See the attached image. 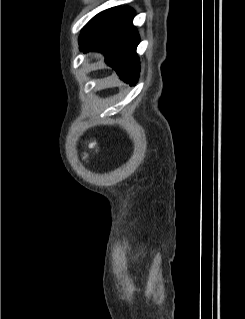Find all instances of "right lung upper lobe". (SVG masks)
Listing matches in <instances>:
<instances>
[{"label": "right lung upper lobe", "instance_id": "right-lung-upper-lobe-1", "mask_svg": "<svg viewBox=\"0 0 245 319\" xmlns=\"http://www.w3.org/2000/svg\"><path fill=\"white\" fill-rule=\"evenodd\" d=\"M86 29H87V28H85V27H84V29H83V30H86ZM88 29H89V28H88Z\"/></svg>", "mask_w": 245, "mask_h": 319}]
</instances>
